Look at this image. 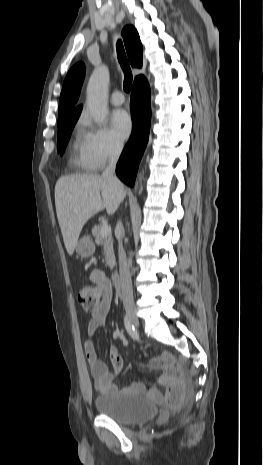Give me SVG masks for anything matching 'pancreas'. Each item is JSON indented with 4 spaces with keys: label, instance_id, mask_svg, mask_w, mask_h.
Listing matches in <instances>:
<instances>
[{
    "label": "pancreas",
    "instance_id": "cf45deb5",
    "mask_svg": "<svg viewBox=\"0 0 263 465\" xmlns=\"http://www.w3.org/2000/svg\"><path fill=\"white\" fill-rule=\"evenodd\" d=\"M102 224H98L92 228V235L95 238L97 245L103 247V254L107 265L112 269L115 266V255L113 251V239L112 235L108 236L101 235Z\"/></svg>",
    "mask_w": 263,
    "mask_h": 465
}]
</instances>
